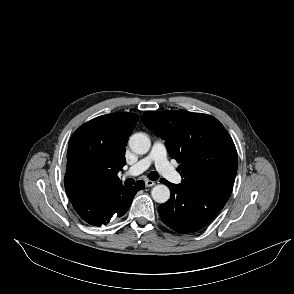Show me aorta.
Listing matches in <instances>:
<instances>
[{"mask_svg":"<svg viewBox=\"0 0 294 294\" xmlns=\"http://www.w3.org/2000/svg\"><path fill=\"white\" fill-rule=\"evenodd\" d=\"M150 146V138L144 133L133 134L129 139V147L136 154H146ZM151 195L155 202L165 203L170 198V190L166 185L159 184L152 188Z\"/></svg>","mask_w":294,"mask_h":294,"instance_id":"obj_1","label":"aorta"}]
</instances>
